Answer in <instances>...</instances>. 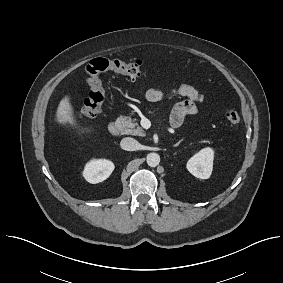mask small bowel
Wrapping results in <instances>:
<instances>
[{"mask_svg":"<svg viewBox=\"0 0 283 283\" xmlns=\"http://www.w3.org/2000/svg\"><path fill=\"white\" fill-rule=\"evenodd\" d=\"M171 96L184 97L186 100L175 105L170 116V125L173 128H178L182 125L186 116H195L198 114V103L204 101V96L193 86L181 84L172 89L169 93ZM145 98L150 102H158L167 94L155 88H150L144 93Z\"/></svg>","mask_w":283,"mask_h":283,"instance_id":"1","label":"small bowel"}]
</instances>
